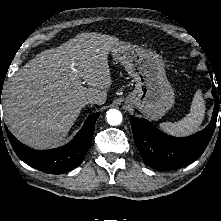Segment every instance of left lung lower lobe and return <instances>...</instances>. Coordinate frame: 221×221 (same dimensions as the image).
I'll use <instances>...</instances> for the list:
<instances>
[{
	"label": "left lung lower lobe",
	"mask_w": 221,
	"mask_h": 221,
	"mask_svg": "<svg viewBox=\"0 0 221 221\" xmlns=\"http://www.w3.org/2000/svg\"><path fill=\"white\" fill-rule=\"evenodd\" d=\"M212 94L215 107L210 124L204 130L189 137H171L159 131L146 119L135 117L129 119L134 142L146 165L157 170H173L182 168L201 156L216 127L218 101L214 87Z\"/></svg>",
	"instance_id": "obj_1"
}]
</instances>
